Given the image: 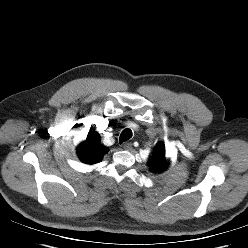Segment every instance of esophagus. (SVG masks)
<instances>
[{
    "instance_id": "esophagus-1",
    "label": "esophagus",
    "mask_w": 248,
    "mask_h": 248,
    "mask_svg": "<svg viewBox=\"0 0 248 248\" xmlns=\"http://www.w3.org/2000/svg\"><path fill=\"white\" fill-rule=\"evenodd\" d=\"M122 147L125 150H132V144L131 143H124Z\"/></svg>"
}]
</instances>
